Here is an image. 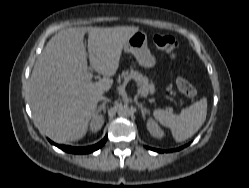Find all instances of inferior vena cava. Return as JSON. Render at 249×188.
<instances>
[{
	"mask_svg": "<svg viewBox=\"0 0 249 188\" xmlns=\"http://www.w3.org/2000/svg\"><path fill=\"white\" fill-rule=\"evenodd\" d=\"M105 99H107V98L104 97V96H100V97L98 98L99 101H104Z\"/></svg>",
	"mask_w": 249,
	"mask_h": 188,
	"instance_id": "obj_1",
	"label": "inferior vena cava"
}]
</instances>
